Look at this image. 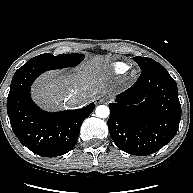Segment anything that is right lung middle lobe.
I'll list each match as a JSON object with an SVG mask.
<instances>
[{"instance_id": "obj_1", "label": "right lung middle lobe", "mask_w": 193, "mask_h": 193, "mask_svg": "<svg viewBox=\"0 0 193 193\" xmlns=\"http://www.w3.org/2000/svg\"><path fill=\"white\" fill-rule=\"evenodd\" d=\"M84 58L83 54L73 53V54H60L54 56L52 54L46 53L38 55L28 62H26L22 67H46L49 69H61L66 67H73L79 64Z\"/></svg>"}]
</instances>
